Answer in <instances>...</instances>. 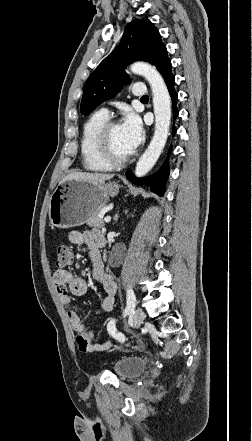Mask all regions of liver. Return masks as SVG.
I'll return each instance as SVG.
<instances>
[{
  "label": "liver",
  "mask_w": 252,
  "mask_h": 441,
  "mask_svg": "<svg viewBox=\"0 0 252 441\" xmlns=\"http://www.w3.org/2000/svg\"><path fill=\"white\" fill-rule=\"evenodd\" d=\"M113 174L89 173V172H72L62 179L60 184L68 180L87 181L93 183H104L106 180L113 178Z\"/></svg>",
  "instance_id": "6515ba94"
}]
</instances>
